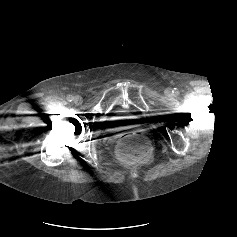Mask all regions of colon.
I'll return each instance as SVG.
<instances>
[{
	"label": "colon",
	"mask_w": 237,
	"mask_h": 237,
	"mask_svg": "<svg viewBox=\"0 0 237 237\" xmlns=\"http://www.w3.org/2000/svg\"><path fill=\"white\" fill-rule=\"evenodd\" d=\"M117 156L127 163H139L148 160L152 153L149 141L141 133L124 135L116 147Z\"/></svg>",
	"instance_id": "1"
}]
</instances>
